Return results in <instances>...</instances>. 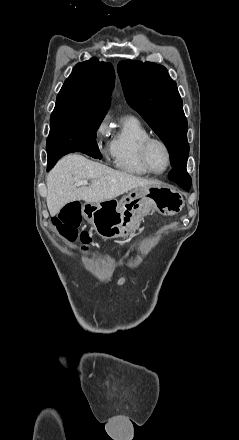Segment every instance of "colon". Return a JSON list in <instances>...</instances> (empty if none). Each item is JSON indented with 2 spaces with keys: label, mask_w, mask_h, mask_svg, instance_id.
Segmentation results:
<instances>
[{
  "label": "colon",
  "mask_w": 239,
  "mask_h": 440,
  "mask_svg": "<svg viewBox=\"0 0 239 440\" xmlns=\"http://www.w3.org/2000/svg\"><path fill=\"white\" fill-rule=\"evenodd\" d=\"M80 223L81 215L78 203L65 205L59 214L53 218V224L61 236L69 241H75L79 238L83 245L82 249H86L91 242V235L86 230H78Z\"/></svg>",
  "instance_id": "obj_1"
}]
</instances>
